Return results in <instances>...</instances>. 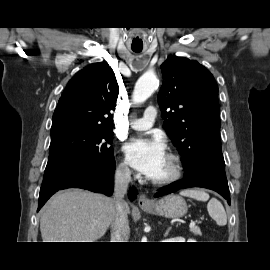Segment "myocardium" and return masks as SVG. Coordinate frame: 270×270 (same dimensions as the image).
Returning a JSON list of instances; mask_svg holds the SVG:
<instances>
[{
	"instance_id": "obj_1",
	"label": "myocardium",
	"mask_w": 270,
	"mask_h": 270,
	"mask_svg": "<svg viewBox=\"0 0 270 270\" xmlns=\"http://www.w3.org/2000/svg\"><path fill=\"white\" fill-rule=\"evenodd\" d=\"M167 157L171 161V171L169 175L161 179H151V183L156 186H166L178 181L183 172L182 160L176 153L170 152Z\"/></svg>"
}]
</instances>
